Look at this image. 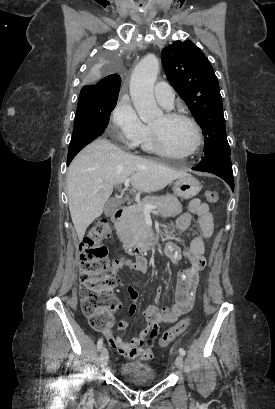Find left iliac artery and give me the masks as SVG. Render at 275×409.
<instances>
[{
    "label": "left iliac artery",
    "mask_w": 275,
    "mask_h": 409,
    "mask_svg": "<svg viewBox=\"0 0 275 409\" xmlns=\"http://www.w3.org/2000/svg\"><path fill=\"white\" fill-rule=\"evenodd\" d=\"M178 351H179L180 355H182V356L186 355V351L184 350V348H179Z\"/></svg>",
    "instance_id": "left-iliac-artery-1"
}]
</instances>
